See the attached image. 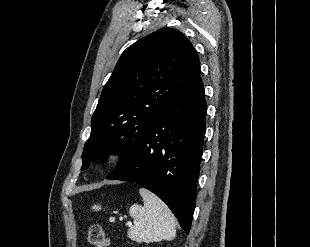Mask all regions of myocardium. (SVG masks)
I'll return each instance as SVG.
<instances>
[{"mask_svg":"<svg viewBox=\"0 0 310 247\" xmlns=\"http://www.w3.org/2000/svg\"><path fill=\"white\" fill-rule=\"evenodd\" d=\"M122 150L119 146H109L102 152V159L107 163H112L118 160L121 156Z\"/></svg>","mask_w":310,"mask_h":247,"instance_id":"1","label":"myocardium"}]
</instances>
